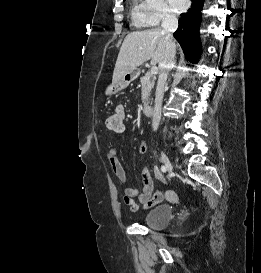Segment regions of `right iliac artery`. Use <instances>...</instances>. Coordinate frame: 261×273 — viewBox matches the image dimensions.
Listing matches in <instances>:
<instances>
[{
  "label": "right iliac artery",
  "instance_id": "obj_1",
  "mask_svg": "<svg viewBox=\"0 0 261 273\" xmlns=\"http://www.w3.org/2000/svg\"><path fill=\"white\" fill-rule=\"evenodd\" d=\"M161 171L162 172H166V167L165 166H161Z\"/></svg>",
  "mask_w": 261,
  "mask_h": 273
}]
</instances>
